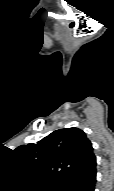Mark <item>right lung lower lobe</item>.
I'll use <instances>...</instances> for the list:
<instances>
[{"label": "right lung lower lobe", "instance_id": "1", "mask_svg": "<svg viewBox=\"0 0 114 191\" xmlns=\"http://www.w3.org/2000/svg\"><path fill=\"white\" fill-rule=\"evenodd\" d=\"M96 183V169L81 175L61 185L56 191H94Z\"/></svg>", "mask_w": 114, "mask_h": 191}]
</instances>
